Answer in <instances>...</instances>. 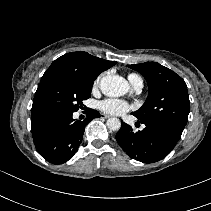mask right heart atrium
<instances>
[{
  "label": "right heart atrium",
  "instance_id": "1",
  "mask_svg": "<svg viewBox=\"0 0 211 211\" xmlns=\"http://www.w3.org/2000/svg\"><path fill=\"white\" fill-rule=\"evenodd\" d=\"M99 83V78L95 81V86L98 85Z\"/></svg>",
  "mask_w": 211,
  "mask_h": 211
}]
</instances>
